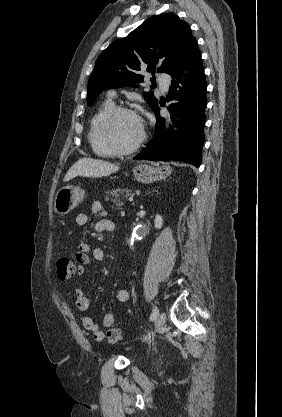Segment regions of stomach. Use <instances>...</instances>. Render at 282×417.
Wrapping results in <instances>:
<instances>
[{"label":"stomach","mask_w":282,"mask_h":417,"mask_svg":"<svg viewBox=\"0 0 282 417\" xmlns=\"http://www.w3.org/2000/svg\"><path fill=\"white\" fill-rule=\"evenodd\" d=\"M134 176L139 182H154L160 178H166L172 172L171 166L161 164V166H151V164H137L133 168ZM85 196L83 188L80 186H62L56 192L54 209L59 215H67L75 206L82 202Z\"/></svg>","instance_id":"stomach-1"}]
</instances>
